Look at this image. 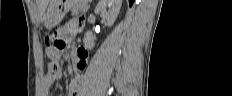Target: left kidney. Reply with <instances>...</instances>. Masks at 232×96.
<instances>
[{
  "mask_svg": "<svg viewBox=\"0 0 232 96\" xmlns=\"http://www.w3.org/2000/svg\"><path fill=\"white\" fill-rule=\"evenodd\" d=\"M122 5V0H100L95 8L96 14H101V18L107 21L110 27L114 24ZM108 8V10H107ZM84 47L92 49L95 46V37L91 31H87L83 39Z\"/></svg>",
  "mask_w": 232,
  "mask_h": 96,
  "instance_id": "1",
  "label": "left kidney"
}]
</instances>
